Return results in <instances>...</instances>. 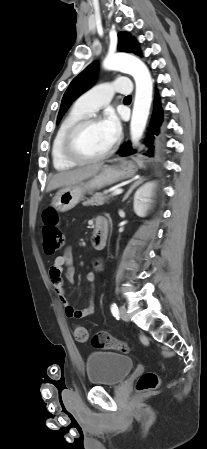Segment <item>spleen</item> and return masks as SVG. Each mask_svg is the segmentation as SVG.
<instances>
[{
	"mask_svg": "<svg viewBox=\"0 0 207 449\" xmlns=\"http://www.w3.org/2000/svg\"><path fill=\"white\" fill-rule=\"evenodd\" d=\"M137 163H138L139 166H142V163L140 161H137Z\"/></svg>",
	"mask_w": 207,
	"mask_h": 449,
	"instance_id": "spleen-1",
	"label": "spleen"
}]
</instances>
